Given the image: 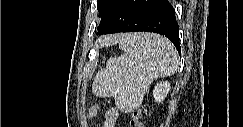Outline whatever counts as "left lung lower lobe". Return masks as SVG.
Wrapping results in <instances>:
<instances>
[{
	"instance_id": "obj_1",
	"label": "left lung lower lobe",
	"mask_w": 243,
	"mask_h": 127,
	"mask_svg": "<svg viewBox=\"0 0 243 127\" xmlns=\"http://www.w3.org/2000/svg\"><path fill=\"white\" fill-rule=\"evenodd\" d=\"M145 31L166 36L181 52L179 26L168 0H122L106 17V25L98 34Z\"/></svg>"
}]
</instances>
